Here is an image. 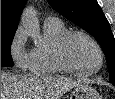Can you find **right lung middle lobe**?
<instances>
[{
  "label": "right lung middle lobe",
  "instance_id": "obj_1",
  "mask_svg": "<svg viewBox=\"0 0 115 99\" xmlns=\"http://www.w3.org/2000/svg\"><path fill=\"white\" fill-rule=\"evenodd\" d=\"M14 34L15 32H1V67L14 65L10 51Z\"/></svg>",
  "mask_w": 115,
  "mask_h": 99
}]
</instances>
